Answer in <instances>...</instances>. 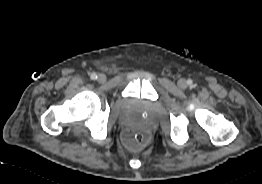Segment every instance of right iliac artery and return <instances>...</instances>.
<instances>
[{
    "label": "right iliac artery",
    "mask_w": 262,
    "mask_h": 184,
    "mask_svg": "<svg viewBox=\"0 0 262 184\" xmlns=\"http://www.w3.org/2000/svg\"><path fill=\"white\" fill-rule=\"evenodd\" d=\"M90 78H91L92 80H96V79H97L96 73H92V74L90 75Z\"/></svg>",
    "instance_id": "1"
}]
</instances>
